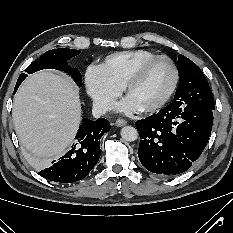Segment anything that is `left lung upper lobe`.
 Wrapping results in <instances>:
<instances>
[{
    "mask_svg": "<svg viewBox=\"0 0 233 233\" xmlns=\"http://www.w3.org/2000/svg\"><path fill=\"white\" fill-rule=\"evenodd\" d=\"M177 64L180 82L173 102L214 110V97L200 68L181 54L178 56Z\"/></svg>",
    "mask_w": 233,
    "mask_h": 233,
    "instance_id": "obj_1",
    "label": "left lung upper lobe"
}]
</instances>
